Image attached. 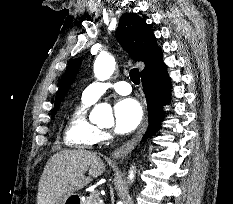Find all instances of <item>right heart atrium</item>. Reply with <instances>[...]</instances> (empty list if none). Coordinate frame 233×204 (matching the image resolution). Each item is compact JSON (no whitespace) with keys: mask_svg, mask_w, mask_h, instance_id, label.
<instances>
[{"mask_svg":"<svg viewBox=\"0 0 233 204\" xmlns=\"http://www.w3.org/2000/svg\"><path fill=\"white\" fill-rule=\"evenodd\" d=\"M110 138V134L107 132H101V140H107Z\"/></svg>","mask_w":233,"mask_h":204,"instance_id":"d8ad5b80","label":"right heart atrium"}]
</instances>
